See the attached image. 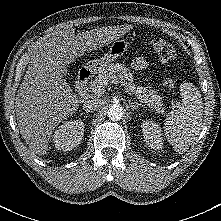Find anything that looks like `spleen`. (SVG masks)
Returning a JSON list of instances; mask_svg holds the SVG:
<instances>
[{
    "label": "spleen",
    "instance_id": "1",
    "mask_svg": "<svg viewBox=\"0 0 221 221\" xmlns=\"http://www.w3.org/2000/svg\"><path fill=\"white\" fill-rule=\"evenodd\" d=\"M182 97L178 109L171 111L164 122L165 136L175 151L182 154L199 134L202 117L203 101L198 88L185 82L180 86Z\"/></svg>",
    "mask_w": 221,
    "mask_h": 221
}]
</instances>
